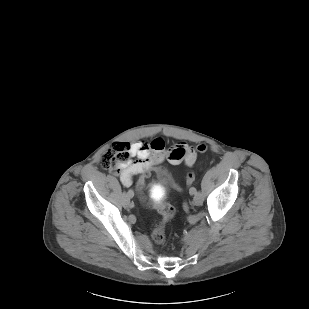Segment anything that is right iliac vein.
Listing matches in <instances>:
<instances>
[{
	"instance_id": "obj_1",
	"label": "right iliac vein",
	"mask_w": 309,
	"mask_h": 309,
	"mask_svg": "<svg viewBox=\"0 0 309 309\" xmlns=\"http://www.w3.org/2000/svg\"><path fill=\"white\" fill-rule=\"evenodd\" d=\"M133 197V195L131 196V197H128L127 195H126V197H125V203H126V205H130V198H132Z\"/></svg>"
}]
</instances>
